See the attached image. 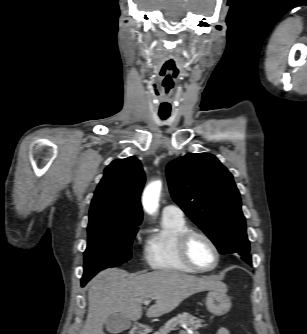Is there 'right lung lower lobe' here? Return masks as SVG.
<instances>
[{"instance_id":"right-lung-lower-lobe-1","label":"right lung lower lobe","mask_w":307,"mask_h":334,"mask_svg":"<svg viewBox=\"0 0 307 334\" xmlns=\"http://www.w3.org/2000/svg\"><path fill=\"white\" fill-rule=\"evenodd\" d=\"M85 285V283L84 282H82V286H84Z\"/></svg>"}]
</instances>
